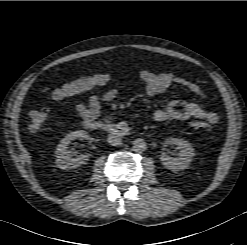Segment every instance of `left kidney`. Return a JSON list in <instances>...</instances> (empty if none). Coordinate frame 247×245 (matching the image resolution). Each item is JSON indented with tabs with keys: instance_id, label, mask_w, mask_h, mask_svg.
Here are the masks:
<instances>
[{
	"instance_id": "5707ae66",
	"label": "left kidney",
	"mask_w": 247,
	"mask_h": 245,
	"mask_svg": "<svg viewBox=\"0 0 247 245\" xmlns=\"http://www.w3.org/2000/svg\"><path fill=\"white\" fill-rule=\"evenodd\" d=\"M169 144L177 145V147L180 149V152L178 153V157H170L165 152H163L160 156V160L164 167L172 171L186 169L194 156L195 149L193 146L186 140L173 137L167 138L164 146Z\"/></svg>"
}]
</instances>
